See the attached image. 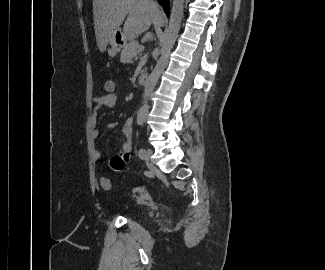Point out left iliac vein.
Here are the masks:
<instances>
[{
  "label": "left iliac vein",
  "mask_w": 325,
  "mask_h": 270,
  "mask_svg": "<svg viewBox=\"0 0 325 270\" xmlns=\"http://www.w3.org/2000/svg\"><path fill=\"white\" fill-rule=\"evenodd\" d=\"M152 155V150L151 149H147L144 153L143 159L145 160V162H149L150 158Z\"/></svg>",
  "instance_id": "4c4485c4"
}]
</instances>
